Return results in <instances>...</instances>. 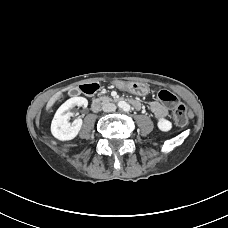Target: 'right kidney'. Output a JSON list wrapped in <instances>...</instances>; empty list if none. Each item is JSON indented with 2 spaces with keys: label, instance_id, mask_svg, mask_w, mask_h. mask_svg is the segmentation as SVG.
<instances>
[{
  "label": "right kidney",
  "instance_id": "right-kidney-1",
  "mask_svg": "<svg viewBox=\"0 0 228 228\" xmlns=\"http://www.w3.org/2000/svg\"><path fill=\"white\" fill-rule=\"evenodd\" d=\"M88 101L84 97H72L63 103L56 111L51 123L52 135L61 141H68L74 139L81 127L82 119L77 118L72 123L69 121L73 115L69 110L74 106L87 107Z\"/></svg>",
  "mask_w": 228,
  "mask_h": 228
}]
</instances>
